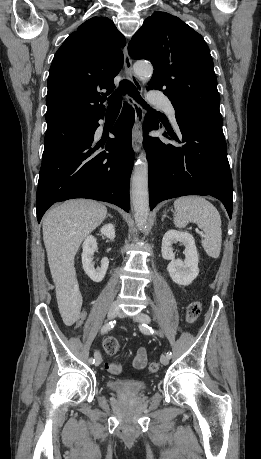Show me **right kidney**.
<instances>
[{
    "label": "right kidney",
    "instance_id": "1",
    "mask_svg": "<svg viewBox=\"0 0 261 459\" xmlns=\"http://www.w3.org/2000/svg\"><path fill=\"white\" fill-rule=\"evenodd\" d=\"M100 232L109 239L115 238V228L111 223L104 225L100 229ZM82 248V265L85 273L90 277L92 281L97 283L101 282L105 277L106 271L108 269V258L104 257L101 260V266L96 269L94 268L93 255L94 252L97 250V242L95 237L92 235L88 236L85 239Z\"/></svg>",
    "mask_w": 261,
    "mask_h": 459
}]
</instances>
